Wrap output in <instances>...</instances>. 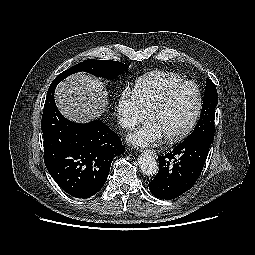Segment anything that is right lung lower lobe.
I'll return each instance as SVG.
<instances>
[{
    "label": "right lung lower lobe",
    "instance_id": "obj_1",
    "mask_svg": "<svg viewBox=\"0 0 255 255\" xmlns=\"http://www.w3.org/2000/svg\"><path fill=\"white\" fill-rule=\"evenodd\" d=\"M49 88L41 129L44 162L56 183L76 198H89L105 184L114 157L124 153L121 139L100 120L79 124L67 120Z\"/></svg>",
    "mask_w": 255,
    "mask_h": 255
}]
</instances>
